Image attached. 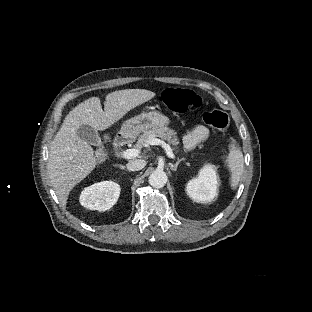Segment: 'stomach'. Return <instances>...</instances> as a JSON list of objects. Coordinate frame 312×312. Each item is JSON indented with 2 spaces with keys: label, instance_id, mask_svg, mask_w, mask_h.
I'll return each mask as SVG.
<instances>
[{
  "label": "stomach",
  "instance_id": "0dacf381",
  "mask_svg": "<svg viewBox=\"0 0 312 312\" xmlns=\"http://www.w3.org/2000/svg\"><path fill=\"white\" fill-rule=\"evenodd\" d=\"M169 118L159 111L141 113L133 118L126 120L120 129V134L124 138L134 139L141 132L154 127H163L169 124Z\"/></svg>",
  "mask_w": 312,
  "mask_h": 312
}]
</instances>
